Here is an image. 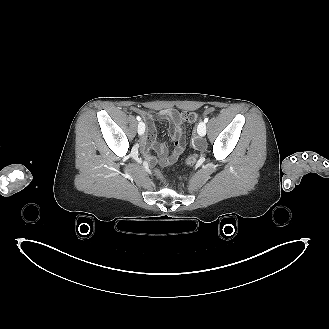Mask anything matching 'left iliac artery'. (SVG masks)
Here are the masks:
<instances>
[{
  "label": "left iliac artery",
  "instance_id": "44dca946",
  "mask_svg": "<svg viewBox=\"0 0 329 329\" xmlns=\"http://www.w3.org/2000/svg\"><path fill=\"white\" fill-rule=\"evenodd\" d=\"M208 120H209V118H208V117H206V118L204 119V122H205V123H207V122H208Z\"/></svg>",
  "mask_w": 329,
  "mask_h": 329
}]
</instances>
